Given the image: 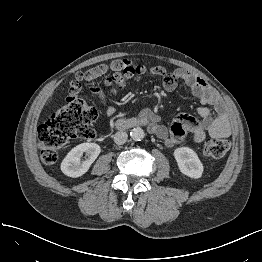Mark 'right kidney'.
<instances>
[{
  "mask_svg": "<svg viewBox=\"0 0 262 262\" xmlns=\"http://www.w3.org/2000/svg\"><path fill=\"white\" fill-rule=\"evenodd\" d=\"M101 152L95 143H82L74 147L61 163V171L69 177H80L85 174ZM86 153L85 160L81 159Z\"/></svg>",
  "mask_w": 262,
  "mask_h": 262,
  "instance_id": "obj_1",
  "label": "right kidney"
}]
</instances>
